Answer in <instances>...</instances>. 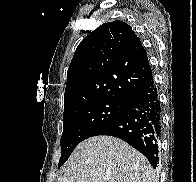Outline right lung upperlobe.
<instances>
[{
	"label": "right lung upper lobe",
	"instance_id": "right-lung-upper-lobe-1",
	"mask_svg": "<svg viewBox=\"0 0 196 182\" xmlns=\"http://www.w3.org/2000/svg\"><path fill=\"white\" fill-rule=\"evenodd\" d=\"M152 78L146 50L131 26L119 20L102 24L74 53L64 111L99 98L130 102Z\"/></svg>",
	"mask_w": 196,
	"mask_h": 182
}]
</instances>
